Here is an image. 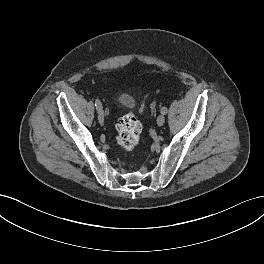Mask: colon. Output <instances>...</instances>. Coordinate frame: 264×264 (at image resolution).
I'll return each mask as SVG.
<instances>
[{
	"label": "colon",
	"instance_id": "colon-1",
	"mask_svg": "<svg viewBox=\"0 0 264 264\" xmlns=\"http://www.w3.org/2000/svg\"><path fill=\"white\" fill-rule=\"evenodd\" d=\"M117 143L125 150H132L140 140L142 125L134 113L121 117L117 123Z\"/></svg>",
	"mask_w": 264,
	"mask_h": 264
}]
</instances>
